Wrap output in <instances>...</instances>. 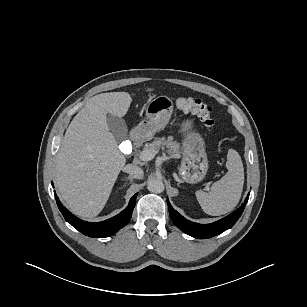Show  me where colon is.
I'll return each instance as SVG.
<instances>
[{
  "label": "colon",
  "instance_id": "1",
  "mask_svg": "<svg viewBox=\"0 0 307 307\" xmlns=\"http://www.w3.org/2000/svg\"><path fill=\"white\" fill-rule=\"evenodd\" d=\"M175 105L179 110L199 118L206 127L212 128L214 126L212 108L200 99L178 97L175 99Z\"/></svg>",
  "mask_w": 307,
  "mask_h": 307
}]
</instances>
